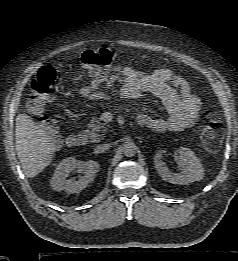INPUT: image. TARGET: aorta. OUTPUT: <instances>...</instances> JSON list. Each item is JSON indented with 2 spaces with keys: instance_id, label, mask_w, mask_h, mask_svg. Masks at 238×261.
I'll use <instances>...</instances> for the list:
<instances>
[{
  "instance_id": "762f6f07",
  "label": "aorta",
  "mask_w": 238,
  "mask_h": 261,
  "mask_svg": "<svg viewBox=\"0 0 238 261\" xmlns=\"http://www.w3.org/2000/svg\"><path fill=\"white\" fill-rule=\"evenodd\" d=\"M137 146L133 141H127L123 144V154L126 157H133L137 152Z\"/></svg>"
}]
</instances>
